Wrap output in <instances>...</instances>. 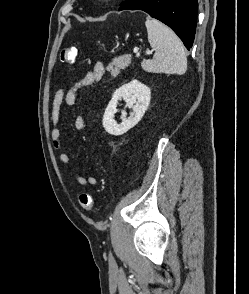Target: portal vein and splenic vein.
Wrapping results in <instances>:
<instances>
[{
	"label": "portal vein and splenic vein",
	"mask_w": 249,
	"mask_h": 294,
	"mask_svg": "<svg viewBox=\"0 0 249 294\" xmlns=\"http://www.w3.org/2000/svg\"><path fill=\"white\" fill-rule=\"evenodd\" d=\"M134 53H135L136 55H139V50H138V49H134ZM146 53H147V54H152V51H147Z\"/></svg>",
	"instance_id": "portal-vein-and-splenic-vein-1"
}]
</instances>
